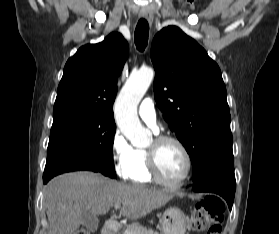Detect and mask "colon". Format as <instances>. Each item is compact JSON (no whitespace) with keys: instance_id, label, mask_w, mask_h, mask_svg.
<instances>
[{"instance_id":"5ec220e1","label":"colon","mask_w":279,"mask_h":234,"mask_svg":"<svg viewBox=\"0 0 279 234\" xmlns=\"http://www.w3.org/2000/svg\"><path fill=\"white\" fill-rule=\"evenodd\" d=\"M226 206L218 196H208L198 202L191 215L190 225L194 231H206V234H222ZM77 234H90L80 230Z\"/></svg>"}]
</instances>
